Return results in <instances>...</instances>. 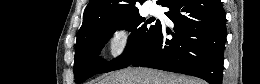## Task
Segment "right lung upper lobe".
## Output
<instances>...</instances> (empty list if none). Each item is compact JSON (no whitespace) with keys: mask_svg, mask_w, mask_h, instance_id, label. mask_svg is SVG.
<instances>
[{"mask_svg":"<svg viewBox=\"0 0 260 84\" xmlns=\"http://www.w3.org/2000/svg\"><path fill=\"white\" fill-rule=\"evenodd\" d=\"M171 0H159L165 6ZM144 0H90L83 14V23L77 39L81 38L96 22L119 20L127 15L138 12V5Z\"/></svg>","mask_w":260,"mask_h":84,"instance_id":"cb5924a9","label":"right lung upper lobe"}]
</instances>
